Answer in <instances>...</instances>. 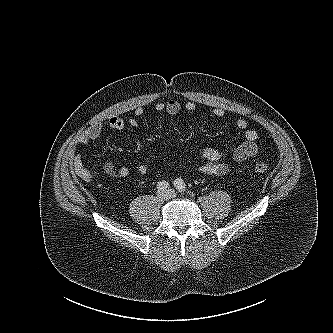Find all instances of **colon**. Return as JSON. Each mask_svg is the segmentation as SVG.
<instances>
[{
    "label": "colon",
    "instance_id": "colon-1",
    "mask_svg": "<svg viewBox=\"0 0 333 333\" xmlns=\"http://www.w3.org/2000/svg\"><path fill=\"white\" fill-rule=\"evenodd\" d=\"M253 168L258 173H266L270 169L269 163L263 158H256L253 161Z\"/></svg>",
    "mask_w": 333,
    "mask_h": 333
}]
</instances>
